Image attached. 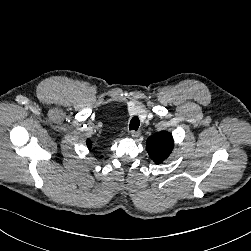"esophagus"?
<instances>
[{"label": "esophagus", "instance_id": "34e87169", "mask_svg": "<svg viewBox=\"0 0 251 251\" xmlns=\"http://www.w3.org/2000/svg\"><path fill=\"white\" fill-rule=\"evenodd\" d=\"M131 136L133 137V138H137V137H139L140 136V132H138V131H131Z\"/></svg>", "mask_w": 251, "mask_h": 251}]
</instances>
